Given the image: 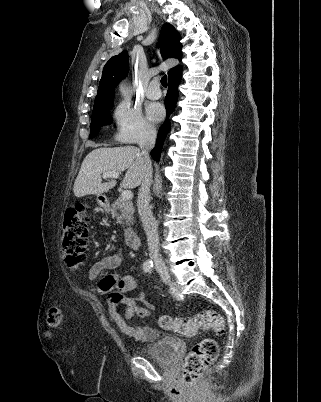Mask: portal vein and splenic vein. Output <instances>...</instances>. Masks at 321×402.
Listing matches in <instances>:
<instances>
[{"mask_svg":"<svg viewBox=\"0 0 321 402\" xmlns=\"http://www.w3.org/2000/svg\"><path fill=\"white\" fill-rule=\"evenodd\" d=\"M102 177H103L104 179H106V178H118V177H119V173H118V172H107V173H104V174L102 175ZM132 197H133V194H132L131 190H124V191L121 193V198H122L123 200H130V199H132Z\"/></svg>","mask_w":321,"mask_h":402,"instance_id":"portal-vein-and-splenic-vein-1","label":"portal vein and splenic vein"}]
</instances>
